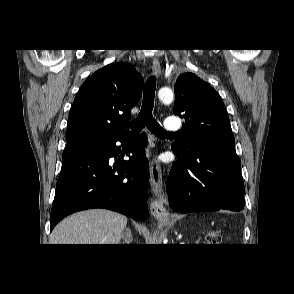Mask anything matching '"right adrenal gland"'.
<instances>
[{"label": "right adrenal gland", "instance_id": "right-adrenal-gland-1", "mask_svg": "<svg viewBox=\"0 0 294 294\" xmlns=\"http://www.w3.org/2000/svg\"><path fill=\"white\" fill-rule=\"evenodd\" d=\"M123 242L122 244H130L133 240L132 233L129 227L125 229V232L122 234Z\"/></svg>", "mask_w": 294, "mask_h": 294}]
</instances>
